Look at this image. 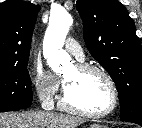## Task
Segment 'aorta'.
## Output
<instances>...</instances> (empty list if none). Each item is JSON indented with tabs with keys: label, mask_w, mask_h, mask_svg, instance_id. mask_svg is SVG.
Listing matches in <instances>:
<instances>
[{
	"label": "aorta",
	"mask_w": 142,
	"mask_h": 128,
	"mask_svg": "<svg viewBox=\"0 0 142 128\" xmlns=\"http://www.w3.org/2000/svg\"><path fill=\"white\" fill-rule=\"evenodd\" d=\"M72 24V16L64 9L50 15L43 42V54L50 68L56 73H61L70 64L71 58L62 48Z\"/></svg>",
	"instance_id": "1"
}]
</instances>
